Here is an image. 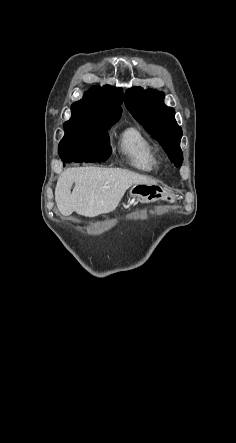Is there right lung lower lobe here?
I'll use <instances>...</instances> for the list:
<instances>
[{
	"mask_svg": "<svg viewBox=\"0 0 236 443\" xmlns=\"http://www.w3.org/2000/svg\"><path fill=\"white\" fill-rule=\"evenodd\" d=\"M111 147L83 145L67 146L59 150L60 158L65 163L70 162H102L111 155Z\"/></svg>",
	"mask_w": 236,
	"mask_h": 443,
	"instance_id": "right-lung-lower-lobe-1",
	"label": "right lung lower lobe"
}]
</instances>
